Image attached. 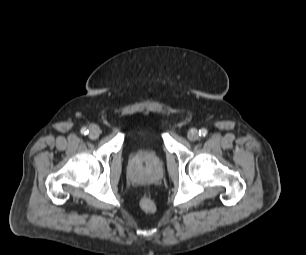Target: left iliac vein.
<instances>
[{"label":"left iliac vein","instance_id":"obj_1","mask_svg":"<svg viewBox=\"0 0 306 255\" xmlns=\"http://www.w3.org/2000/svg\"><path fill=\"white\" fill-rule=\"evenodd\" d=\"M187 138L190 141H196L199 138L198 131L196 129L189 130V132L187 133Z\"/></svg>","mask_w":306,"mask_h":255}]
</instances>
